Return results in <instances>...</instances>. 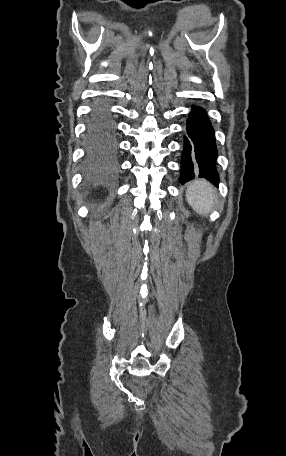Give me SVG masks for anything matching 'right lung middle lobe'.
<instances>
[{
    "label": "right lung middle lobe",
    "instance_id": "obj_1",
    "mask_svg": "<svg viewBox=\"0 0 286 456\" xmlns=\"http://www.w3.org/2000/svg\"><path fill=\"white\" fill-rule=\"evenodd\" d=\"M110 122L99 115L93 114L90 119L89 133L93 138H102L109 130Z\"/></svg>",
    "mask_w": 286,
    "mask_h": 456
}]
</instances>
